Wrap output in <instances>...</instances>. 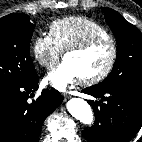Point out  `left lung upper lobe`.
<instances>
[{"label":"left lung upper lobe","instance_id":"left-lung-upper-lobe-1","mask_svg":"<svg viewBox=\"0 0 142 142\" xmlns=\"http://www.w3.org/2000/svg\"><path fill=\"white\" fill-rule=\"evenodd\" d=\"M117 41V58L112 72L98 87L136 85L142 87V34L119 13L102 7Z\"/></svg>","mask_w":142,"mask_h":142}]
</instances>
